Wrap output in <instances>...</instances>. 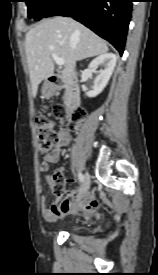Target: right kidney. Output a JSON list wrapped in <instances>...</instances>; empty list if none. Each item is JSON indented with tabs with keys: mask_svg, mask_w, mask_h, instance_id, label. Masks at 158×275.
<instances>
[{
	"mask_svg": "<svg viewBox=\"0 0 158 275\" xmlns=\"http://www.w3.org/2000/svg\"><path fill=\"white\" fill-rule=\"evenodd\" d=\"M116 61L117 57L113 53L102 54L91 61L86 74L95 72L100 65L103 66V69L95 78L92 90L86 93L88 97H95L103 91L114 71Z\"/></svg>",
	"mask_w": 158,
	"mask_h": 275,
	"instance_id": "right-kidney-1",
	"label": "right kidney"
}]
</instances>
